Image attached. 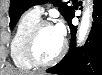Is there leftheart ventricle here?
I'll return each instance as SVG.
<instances>
[{"instance_id":"left-heart-ventricle-1","label":"left heart ventricle","mask_w":102,"mask_h":75,"mask_svg":"<svg viewBox=\"0 0 102 75\" xmlns=\"http://www.w3.org/2000/svg\"><path fill=\"white\" fill-rule=\"evenodd\" d=\"M63 39L55 26H46L36 40V53L40 59L48 61L53 59L61 50Z\"/></svg>"}]
</instances>
